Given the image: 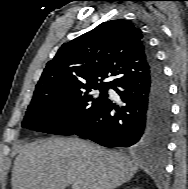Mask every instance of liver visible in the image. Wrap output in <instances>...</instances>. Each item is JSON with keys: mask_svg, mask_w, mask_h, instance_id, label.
Returning <instances> with one entry per match:
<instances>
[{"mask_svg": "<svg viewBox=\"0 0 188 189\" xmlns=\"http://www.w3.org/2000/svg\"><path fill=\"white\" fill-rule=\"evenodd\" d=\"M138 167L121 154L78 138H50L25 145L15 158L12 189H114Z\"/></svg>", "mask_w": 188, "mask_h": 189, "instance_id": "6515ba94", "label": "liver"}]
</instances>
